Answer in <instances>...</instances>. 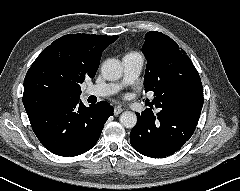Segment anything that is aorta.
<instances>
[{
    "mask_svg": "<svg viewBox=\"0 0 240 191\" xmlns=\"http://www.w3.org/2000/svg\"><path fill=\"white\" fill-rule=\"evenodd\" d=\"M102 75L109 81L118 80L123 74V66L117 59H107L101 67ZM120 123L125 128H133L137 123V116L131 111L123 112L120 115Z\"/></svg>",
    "mask_w": 240,
    "mask_h": 191,
    "instance_id": "1",
    "label": "aorta"
}]
</instances>
